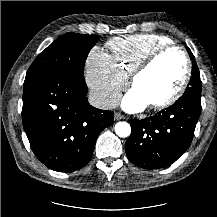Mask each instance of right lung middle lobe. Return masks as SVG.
Here are the masks:
<instances>
[{
	"instance_id": "1",
	"label": "right lung middle lobe",
	"mask_w": 217,
	"mask_h": 217,
	"mask_svg": "<svg viewBox=\"0 0 217 217\" xmlns=\"http://www.w3.org/2000/svg\"><path fill=\"white\" fill-rule=\"evenodd\" d=\"M98 38L97 35L77 33L59 37L36 57L27 71L25 82L55 70H65L78 81L85 82V60Z\"/></svg>"
}]
</instances>
